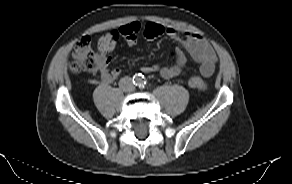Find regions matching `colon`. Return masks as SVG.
Masks as SVG:
<instances>
[{
    "label": "colon",
    "mask_w": 292,
    "mask_h": 184,
    "mask_svg": "<svg viewBox=\"0 0 292 184\" xmlns=\"http://www.w3.org/2000/svg\"><path fill=\"white\" fill-rule=\"evenodd\" d=\"M143 35L149 42L155 41L159 36L163 35V28L157 23H147L143 29ZM119 32L116 30L110 31L103 35L98 41V49L102 52H109L116 46L119 40ZM96 54L92 48L91 40L89 37H82L75 44L73 60L70 63V69L74 73L82 71H91L95 68ZM172 57L177 56V53H172ZM189 85L198 90H205L207 83L199 76H194L189 80Z\"/></svg>",
    "instance_id": "1"
}]
</instances>
